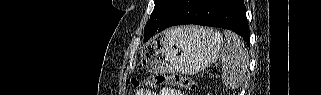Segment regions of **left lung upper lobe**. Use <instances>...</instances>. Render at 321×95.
<instances>
[{
  "mask_svg": "<svg viewBox=\"0 0 321 95\" xmlns=\"http://www.w3.org/2000/svg\"><path fill=\"white\" fill-rule=\"evenodd\" d=\"M175 2L176 0H155L154 10L150 16L149 22L144 28V41L150 39L157 31Z\"/></svg>",
  "mask_w": 321,
  "mask_h": 95,
  "instance_id": "left-lung-upper-lobe-1",
  "label": "left lung upper lobe"
}]
</instances>
